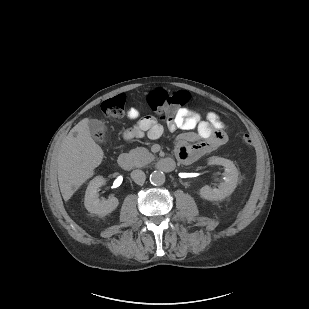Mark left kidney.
<instances>
[{
	"mask_svg": "<svg viewBox=\"0 0 309 309\" xmlns=\"http://www.w3.org/2000/svg\"><path fill=\"white\" fill-rule=\"evenodd\" d=\"M208 164L222 165L225 168L224 181L216 189H212L210 186L206 185L199 190V195L209 201L222 200L233 193L237 187L238 182V170L232 161L221 158L212 157L208 160Z\"/></svg>",
	"mask_w": 309,
	"mask_h": 309,
	"instance_id": "1",
	"label": "left kidney"
}]
</instances>
